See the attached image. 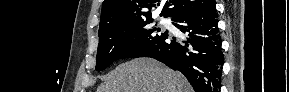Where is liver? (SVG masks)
I'll list each match as a JSON object with an SVG mask.
<instances>
[{"mask_svg": "<svg viewBox=\"0 0 289 92\" xmlns=\"http://www.w3.org/2000/svg\"><path fill=\"white\" fill-rule=\"evenodd\" d=\"M97 92H192L187 79L151 58H138L111 71Z\"/></svg>", "mask_w": 289, "mask_h": 92, "instance_id": "obj_1", "label": "liver"}]
</instances>
